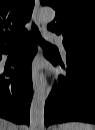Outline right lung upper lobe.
Returning a JSON list of instances; mask_svg holds the SVG:
<instances>
[{"label":"right lung upper lobe","instance_id":"right-lung-upper-lobe-1","mask_svg":"<svg viewBox=\"0 0 95 130\" xmlns=\"http://www.w3.org/2000/svg\"><path fill=\"white\" fill-rule=\"evenodd\" d=\"M34 0H0V50L12 47L21 39L30 19Z\"/></svg>","mask_w":95,"mask_h":130}]
</instances>
